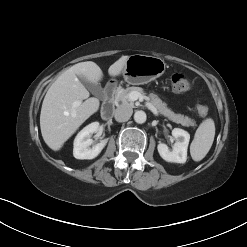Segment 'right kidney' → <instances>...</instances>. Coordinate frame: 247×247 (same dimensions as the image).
I'll list each match as a JSON object with an SVG mask.
<instances>
[{
	"instance_id": "1",
	"label": "right kidney",
	"mask_w": 247,
	"mask_h": 247,
	"mask_svg": "<svg viewBox=\"0 0 247 247\" xmlns=\"http://www.w3.org/2000/svg\"><path fill=\"white\" fill-rule=\"evenodd\" d=\"M99 131V123L93 122L84 127L74 140L73 155L76 159H93L97 157L107 144V139L93 145L91 135Z\"/></svg>"
}]
</instances>
